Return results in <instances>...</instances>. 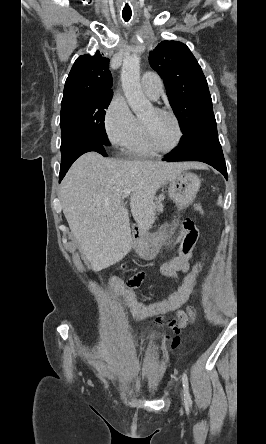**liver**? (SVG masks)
Wrapping results in <instances>:
<instances>
[{
  "label": "liver",
  "mask_w": 266,
  "mask_h": 444,
  "mask_svg": "<svg viewBox=\"0 0 266 444\" xmlns=\"http://www.w3.org/2000/svg\"><path fill=\"white\" fill-rule=\"evenodd\" d=\"M200 163H165L103 158L88 152L78 158L61 183L60 198L70 230L85 261L101 271L132 249L124 189L139 232L146 236L154 222L157 190L177 174L201 169Z\"/></svg>",
  "instance_id": "obj_1"
}]
</instances>
